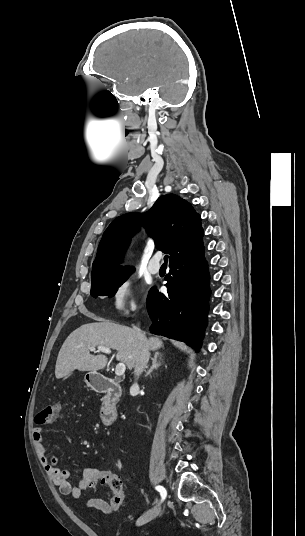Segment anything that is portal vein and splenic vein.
<instances>
[{
	"mask_svg": "<svg viewBox=\"0 0 305 536\" xmlns=\"http://www.w3.org/2000/svg\"><path fill=\"white\" fill-rule=\"evenodd\" d=\"M90 352H95L96 348H89ZM97 352H103V354H111L110 348H105V346H97ZM126 370L125 364H117L115 374L116 376H123Z\"/></svg>",
	"mask_w": 305,
	"mask_h": 536,
	"instance_id": "1",
	"label": "portal vein and splenic vein"
}]
</instances>
